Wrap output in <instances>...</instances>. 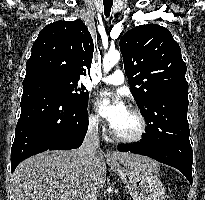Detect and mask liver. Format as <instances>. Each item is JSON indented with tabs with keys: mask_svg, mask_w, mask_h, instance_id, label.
Returning <instances> with one entry per match:
<instances>
[{
	"mask_svg": "<svg viewBox=\"0 0 205 200\" xmlns=\"http://www.w3.org/2000/svg\"><path fill=\"white\" fill-rule=\"evenodd\" d=\"M128 168L149 167L158 172V164L131 153H114ZM106 161L102 150L83 163L78 150L45 152L20 163L12 175L13 200H88L90 187L102 189L106 182Z\"/></svg>",
	"mask_w": 205,
	"mask_h": 200,
	"instance_id": "6515ba94",
	"label": "liver"
}]
</instances>
